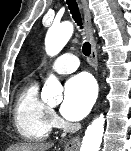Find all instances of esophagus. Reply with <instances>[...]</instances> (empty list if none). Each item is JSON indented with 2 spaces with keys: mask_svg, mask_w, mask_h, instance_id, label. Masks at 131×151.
<instances>
[{
  "mask_svg": "<svg viewBox=\"0 0 131 151\" xmlns=\"http://www.w3.org/2000/svg\"><path fill=\"white\" fill-rule=\"evenodd\" d=\"M80 1L84 13V21H85L87 36L91 44V64L95 71V74L97 75L98 58H97V50H96V41L94 39V30L91 23V13L88 8L87 0H80ZM79 143H80V136L77 135L66 143V148L73 149L76 146H78Z\"/></svg>",
  "mask_w": 131,
  "mask_h": 151,
  "instance_id": "esophagus-1",
  "label": "esophagus"
}]
</instances>
